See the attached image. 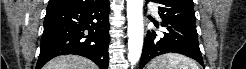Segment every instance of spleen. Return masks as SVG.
Here are the masks:
<instances>
[{"label":"spleen","mask_w":246,"mask_h":69,"mask_svg":"<svg viewBox=\"0 0 246 69\" xmlns=\"http://www.w3.org/2000/svg\"><path fill=\"white\" fill-rule=\"evenodd\" d=\"M151 69H199L192 59L183 55L168 53L156 58L150 65Z\"/></svg>","instance_id":"spleen-1"}]
</instances>
